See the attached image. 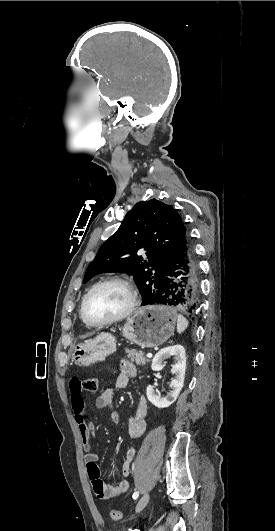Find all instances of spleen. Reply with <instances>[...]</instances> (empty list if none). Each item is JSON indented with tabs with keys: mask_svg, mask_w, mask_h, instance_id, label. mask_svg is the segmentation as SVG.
Masks as SVG:
<instances>
[{
	"mask_svg": "<svg viewBox=\"0 0 275 531\" xmlns=\"http://www.w3.org/2000/svg\"><path fill=\"white\" fill-rule=\"evenodd\" d=\"M189 323L183 315H177V333H184L188 327Z\"/></svg>",
	"mask_w": 275,
	"mask_h": 531,
	"instance_id": "3e777b00",
	"label": "spleen"
}]
</instances>
